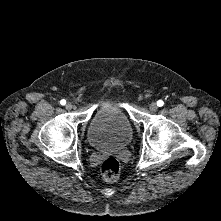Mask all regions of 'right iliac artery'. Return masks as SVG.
<instances>
[{
    "instance_id": "82829eb1",
    "label": "right iliac artery",
    "mask_w": 221,
    "mask_h": 221,
    "mask_svg": "<svg viewBox=\"0 0 221 221\" xmlns=\"http://www.w3.org/2000/svg\"><path fill=\"white\" fill-rule=\"evenodd\" d=\"M60 104H61V105H65V104H66V101H65L64 99H62V100L60 101Z\"/></svg>"
}]
</instances>
